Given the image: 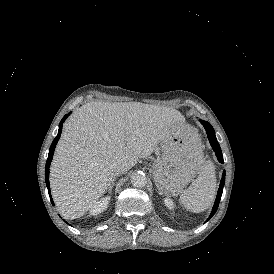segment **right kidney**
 Wrapping results in <instances>:
<instances>
[{
	"mask_svg": "<svg viewBox=\"0 0 274 274\" xmlns=\"http://www.w3.org/2000/svg\"><path fill=\"white\" fill-rule=\"evenodd\" d=\"M110 197L101 198L99 201H95L93 204L90 205V215H98L105 211L108 207Z\"/></svg>",
	"mask_w": 274,
	"mask_h": 274,
	"instance_id": "obj_1",
	"label": "right kidney"
}]
</instances>
